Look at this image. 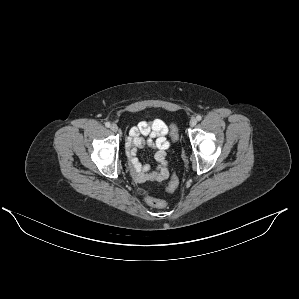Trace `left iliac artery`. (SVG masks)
<instances>
[{
  "instance_id": "obj_1",
  "label": "left iliac artery",
  "mask_w": 299,
  "mask_h": 299,
  "mask_svg": "<svg viewBox=\"0 0 299 299\" xmlns=\"http://www.w3.org/2000/svg\"><path fill=\"white\" fill-rule=\"evenodd\" d=\"M196 119H197L198 121H200V120L202 119V116H201V115H197Z\"/></svg>"
}]
</instances>
